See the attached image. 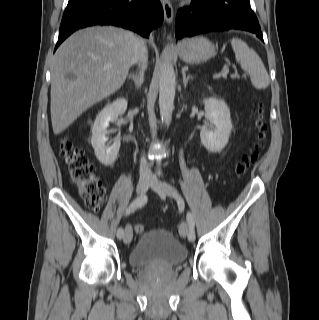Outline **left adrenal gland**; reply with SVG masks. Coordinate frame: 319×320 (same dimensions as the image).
Masks as SVG:
<instances>
[{
  "label": "left adrenal gland",
  "mask_w": 319,
  "mask_h": 320,
  "mask_svg": "<svg viewBox=\"0 0 319 320\" xmlns=\"http://www.w3.org/2000/svg\"><path fill=\"white\" fill-rule=\"evenodd\" d=\"M182 76H183V84H184V87L186 88L188 81L190 79H193V76L190 74L186 76V72L184 70H182Z\"/></svg>",
  "instance_id": "a2214340"
}]
</instances>
